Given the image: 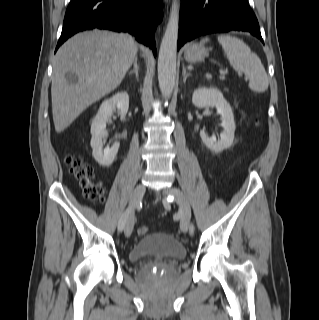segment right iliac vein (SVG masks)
Listing matches in <instances>:
<instances>
[{"instance_id": "1", "label": "right iliac vein", "mask_w": 319, "mask_h": 320, "mask_svg": "<svg viewBox=\"0 0 319 320\" xmlns=\"http://www.w3.org/2000/svg\"><path fill=\"white\" fill-rule=\"evenodd\" d=\"M145 194V186L143 184H139L135 187L132 196H131V201L130 204L132 207L136 206L137 204L140 203V201L142 200L143 196ZM133 227H134V217H133V213L130 212V214L127 217L126 220V225H125V235L127 237H129L133 231Z\"/></svg>"}]
</instances>
